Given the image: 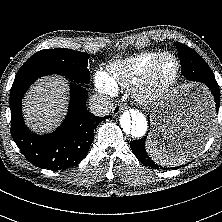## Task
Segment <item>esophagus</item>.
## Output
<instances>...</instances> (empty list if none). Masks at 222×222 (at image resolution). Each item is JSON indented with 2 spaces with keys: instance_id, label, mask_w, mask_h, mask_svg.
I'll return each instance as SVG.
<instances>
[{
  "instance_id": "1",
  "label": "esophagus",
  "mask_w": 222,
  "mask_h": 222,
  "mask_svg": "<svg viewBox=\"0 0 222 222\" xmlns=\"http://www.w3.org/2000/svg\"><path fill=\"white\" fill-rule=\"evenodd\" d=\"M124 109H125V106L122 103H118L113 108V114L117 115V114H119Z\"/></svg>"
}]
</instances>
